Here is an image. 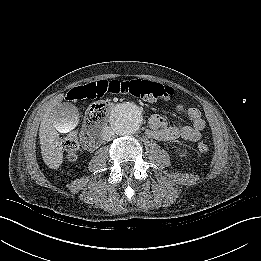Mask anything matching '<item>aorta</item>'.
Returning a JSON list of instances; mask_svg holds the SVG:
<instances>
[{
    "label": "aorta",
    "instance_id": "obj_1",
    "mask_svg": "<svg viewBox=\"0 0 261 261\" xmlns=\"http://www.w3.org/2000/svg\"><path fill=\"white\" fill-rule=\"evenodd\" d=\"M143 121L141 108L134 102H123L116 105L110 114V125L120 136L136 133Z\"/></svg>",
    "mask_w": 261,
    "mask_h": 261
}]
</instances>
